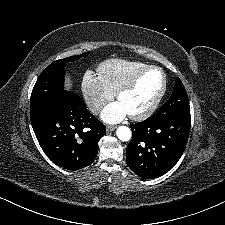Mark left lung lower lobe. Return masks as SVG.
<instances>
[{
  "label": "left lung lower lobe",
  "mask_w": 225,
  "mask_h": 225,
  "mask_svg": "<svg viewBox=\"0 0 225 225\" xmlns=\"http://www.w3.org/2000/svg\"><path fill=\"white\" fill-rule=\"evenodd\" d=\"M190 112L153 114L130 125L132 140L126 149L129 168L143 179L171 170L184 152L190 132Z\"/></svg>",
  "instance_id": "left-lung-lower-lobe-1"
}]
</instances>
